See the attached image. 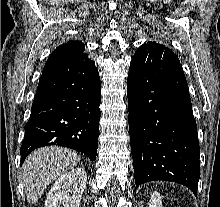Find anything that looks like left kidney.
Segmentation results:
<instances>
[{
	"label": "left kidney",
	"mask_w": 220,
	"mask_h": 207,
	"mask_svg": "<svg viewBox=\"0 0 220 207\" xmlns=\"http://www.w3.org/2000/svg\"><path fill=\"white\" fill-rule=\"evenodd\" d=\"M148 207H162V197L157 191L152 193Z\"/></svg>",
	"instance_id": "left-kidney-1"
}]
</instances>
